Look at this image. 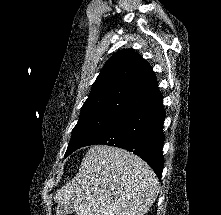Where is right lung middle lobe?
Listing matches in <instances>:
<instances>
[{"label":"right lung middle lobe","instance_id":"1","mask_svg":"<svg viewBox=\"0 0 221 215\" xmlns=\"http://www.w3.org/2000/svg\"><path fill=\"white\" fill-rule=\"evenodd\" d=\"M121 117L108 113H81L77 125L72 130V138L65 157L76 149L85 146L89 141L100 135Z\"/></svg>","mask_w":221,"mask_h":215}]
</instances>
